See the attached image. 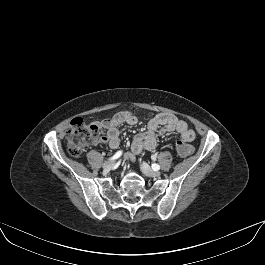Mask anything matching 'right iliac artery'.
Segmentation results:
<instances>
[{"label": "right iliac artery", "mask_w": 265, "mask_h": 265, "mask_svg": "<svg viewBox=\"0 0 265 265\" xmlns=\"http://www.w3.org/2000/svg\"><path fill=\"white\" fill-rule=\"evenodd\" d=\"M122 155V151H118L115 153V155H113L111 158H109V160H114L119 158Z\"/></svg>", "instance_id": "82829eb1"}]
</instances>
